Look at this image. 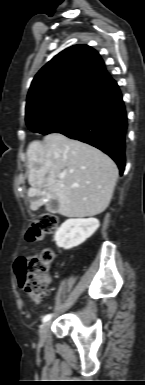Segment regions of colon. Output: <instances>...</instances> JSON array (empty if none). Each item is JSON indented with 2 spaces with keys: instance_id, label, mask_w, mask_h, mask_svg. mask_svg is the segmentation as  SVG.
Returning <instances> with one entry per match:
<instances>
[{
  "instance_id": "1",
  "label": "colon",
  "mask_w": 145,
  "mask_h": 385,
  "mask_svg": "<svg viewBox=\"0 0 145 385\" xmlns=\"http://www.w3.org/2000/svg\"><path fill=\"white\" fill-rule=\"evenodd\" d=\"M58 223L57 216L50 213L41 214L29 227L26 240L28 242L42 240L56 230ZM53 258V251L46 248L38 254L22 257L16 263L15 273L18 285L26 296L35 303H39L46 294L50 283L47 270Z\"/></svg>"
}]
</instances>
